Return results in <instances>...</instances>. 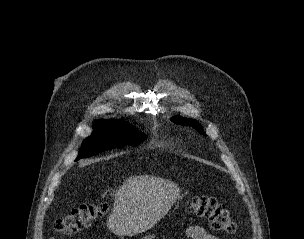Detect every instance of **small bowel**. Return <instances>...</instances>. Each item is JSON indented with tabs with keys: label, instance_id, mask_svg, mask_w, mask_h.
Here are the masks:
<instances>
[{
	"label": "small bowel",
	"instance_id": "obj_1",
	"mask_svg": "<svg viewBox=\"0 0 304 239\" xmlns=\"http://www.w3.org/2000/svg\"><path fill=\"white\" fill-rule=\"evenodd\" d=\"M185 236L188 239H219L218 237L210 234L204 228L192 225L189 226L185 231ZM50 239H57V238H50Z\"/></svg>",
	"mask_w": 304,
	"mask_h": 239
}]
</instances>
